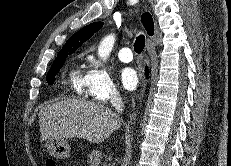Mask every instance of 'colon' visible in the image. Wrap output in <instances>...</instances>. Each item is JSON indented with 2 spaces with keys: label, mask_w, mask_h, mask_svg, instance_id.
Wrapping results in <instances>:
<instances>
[{
  "label": "colon",
  "mask_w": 231,
  "mask_h": 166,
  "mask_svg": "<svg viewBox=\"0 0 231 166\" xmlns=\"http://www.w3.org/2000/svg\"><path fill=\"white\" fill-rule=\"evenodd\" d=\"M46 166H56V163L53 159H48L46 161Z\"/></svg>",
  "instance_id": "colon-1"
}]
</instances>
